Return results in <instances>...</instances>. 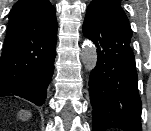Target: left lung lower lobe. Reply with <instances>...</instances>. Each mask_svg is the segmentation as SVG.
Returning <instances> with one entry per match:
<instances>
[{
    "instance_id": "0a47b994",
    "label": "left lung lower lobe",
    "mask_w": 151,
    "mask_h": 131,
    "mask_svg": "<svg viewBox=\"0 0 151 131\" xmlns=\"http://www.w3.org/2000/svg\"><path fill=\"white\" fill-rule=\"evenodd\" d=\"M83 33L94 42L98 55L89 78L93 131H142V104L127 17L110 8L88 10Z\"/></svg>"
}]
</instances>
